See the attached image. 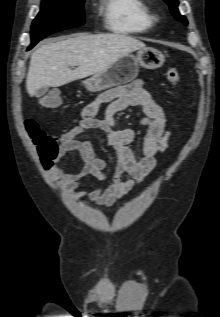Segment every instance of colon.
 <instances>
[{"label": "colon", "instance_id": "obj_1", "mask_svg": "<svg viewBox=\"0 0 220 317\" xmlns=\"http://www.w3.org/2000/svg\"><path fill=\"white\" fill-rule=\"evenodd\" d=\"M168 82L176 86L180 81V74L176 68H170L166 72ZM62 99L57 91H50L40 97V105L46 109H55L61 105ZM25 129L28 137L36 147L37 154L44 166H51L59 154V145L56 138L44 132L33 119L25 121Z\"/></svg>", "mask_w": 220, "mask_h": 317}]
</instances>
